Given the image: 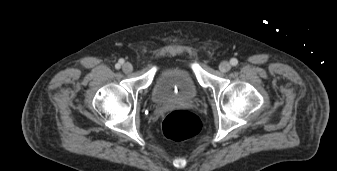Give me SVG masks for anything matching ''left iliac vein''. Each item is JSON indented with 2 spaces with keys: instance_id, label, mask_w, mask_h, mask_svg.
<instances>
[{
  "instance_id": "4c4485c4",
  "label": "left iliac vein",
  "mask_w": 337,
  "mask_h": 171,
  "mask_svg": "<svg viewBox=\"0 0 337 171\" xmlns=\"http://www.w3.org/2000/svg\"><path fill=\"white\" fill-rule=\"evenodd\" d=\"M230 69H231V65H230V63L227 62V61H223V62H221L220 65H219V70H220L221 72H223V73L228 72Z\"/></svg>"
}]
</instances>
